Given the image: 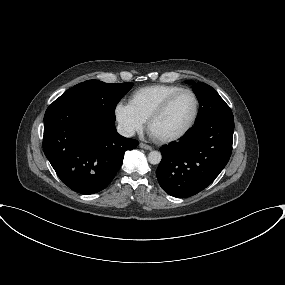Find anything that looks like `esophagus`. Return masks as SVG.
<instances>
[{
	"instance_id": "esophagus-1",
	"label": "esophagus",
	"mask_w": 285,
	"mask_h": 285,
	"mask_svg": "<svg viewBox=\"0 0 285 285\" xmlns=\"http://www.w3.org/2000/svg\"><path fill=\"white\" fill-rule=\"evenodd\" d=\"M139 147H140V148H143V149H145V150H152V147L149 146V145H147V144H145V143H140V144H139Z\"/></svg>"
}]
</instances>
